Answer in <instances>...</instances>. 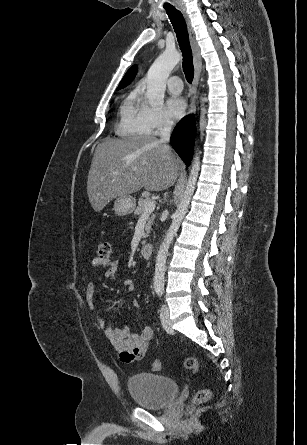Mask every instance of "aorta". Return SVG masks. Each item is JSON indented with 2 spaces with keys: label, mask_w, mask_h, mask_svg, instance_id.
<instances>
[{
  "label": "aorta",
  "mask_w": 307,
  "mask_h": 445,
  "mask_svg": "<svg viewBox=\"0 0 307 445\" xmlns=\"http://www.w3.org/2000/svg\"><path fill=\"white\" fill-rule=\"evenodd\" d=\"M182 54L176 48H166L153 64H151L147 72V88L146 96L151 104H163L166 80L173 70L174 66L181 60ZM200 170V150L195 152L192 168L189 178L185 186V192L181 202L173 214L172 223L167 231V235L157 253L155 263V273L153 279V289L155 291H163L165 279L166 259L169 247L182 223L187 212L188 204H190L191 196L195 190L198 174Z\"/></svg>",
  "instance_id": "1"
}]
</instances>
